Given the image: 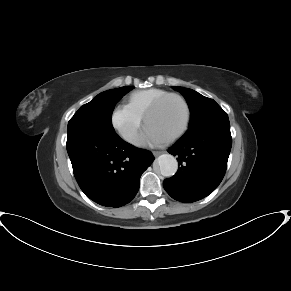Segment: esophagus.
Returning a JSON list of instances; mask_svg holds the SVG:
<instances>
[{"label":"esophagus","mask_w":291,"mask_h":291,"mask_svg":"<svg viewBox=\"0 0 291 291\" xmlns=\"http://www.w3.org/2000/svg\"><path fill=\"white\" fill-rule=\"evenodd\" d=\"M164 153V151H154V156H159L160 154Z\"/></svg>","instance_id":"obj_1"}]
</instances>
